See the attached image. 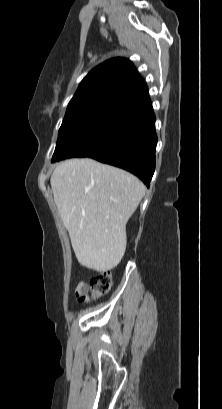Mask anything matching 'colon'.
<instances>
[{
  "label": "colon",
  "mask_w": 222,
  "mask_h": 409,
  "mask_svg": "<svg viewBox=\"0 0 222 409\" xmlns=\"http://www.w3.org/2000/svg\"><path fill=\"white\" fill-rule=\"evenodd\" d=\"M113 284V277L110 271H103L94 276L90 280V294L82 292L77 294V301L79 303H85L91 298H97L103 296L109 292Z\"/></svg>",
  "instance_id": "obj_1"
}]
</instances>
